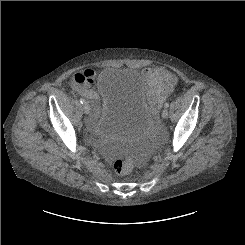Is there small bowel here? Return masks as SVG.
<instances>
[{
    "label": "small bowel",
    "instance_id": "obj_1",
    "mask_svg": "<svg viewBox=\"0 0 245 245\" xmlns=\"http://www.w3.org/2000/svg\"><path fill=\"white\" fill-rule=\"evenodd\" d=\"M81 77H86L88 80L80 82L79 78ZM94 77L95 72L91 69L76 72L73 76L71 87L74 91L94 101L97 98V93L91 88ZM141 77L145 82L150 97L156 101L165 100L178 83L177 77L164 68L145 67L141 71Z\"/></svg>",
    "mask_w": 245,
    "mask_h": 245
}]
</instances>
